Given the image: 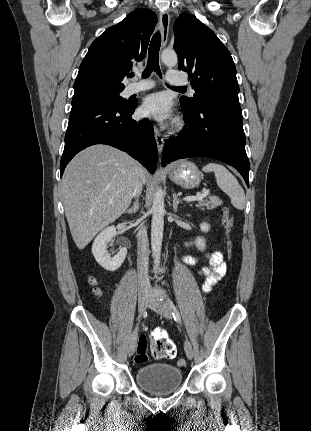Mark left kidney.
<instances>
[{
	"mask_svg": "<svg viewBox=\"0 0 311 431\" xmlns=\"http://www.w3.org/2000/svg\"><path fill=\"white\" fill-rule=\"evenodd\" d=\"M200 229L201 231H209L210 223H207V221H202V223H200ZM196 245L198 249H205L206 241L204 237H198V239H196Z\"/></svg>",
	"mask_w": 311,
	"mask_h": 431,
	"instance_id": "5707ae66",
	"label": "left kidney"
}]
</instances>
